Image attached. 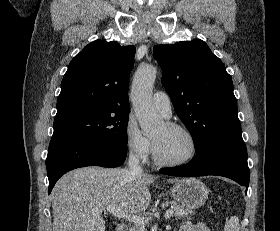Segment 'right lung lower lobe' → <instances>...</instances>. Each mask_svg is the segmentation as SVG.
<instances>
[{
	"instance_id": "98d812e1",
	"label": "right lung lower lobe",
	"mask_w": 280,
	"mask_h": 231,
	"mask_svg": "<svg viewBox=\"0 0 280 231\" xmlns=\"http://www.w3.org/2000/svg\"><path fill=\"white\" fill-rule=\"evenodd\" d=\"M119 147L105 146L73 136L52 137L46 159L48 194L66 172L85 166L118 167L126 159Z\"/></svg>"
}]
</instances>
